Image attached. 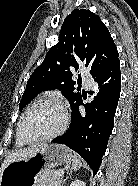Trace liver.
<instances>
[{
	"label": "liver",
	"instance_id": "liver-1",
	"mask_svg": "<svg viewBox=\"0 0 138 186\" xmlns=\"http://www.w3.org/2000/svg\"><path fill=\"white\" fill-rule=\"evenodd\" d=\"M46 145L47 144H45V143H40V144L32 145L31 147H28L25 149L10 152L2 163V166L0 169V176H1L2 171L5 169V167L8 164H10L13 161L26 160V159L32 157L37 152H39Z\"/></svg>",
	"mask_w": 138,
	"mask_h": 186
}]
</instances>
